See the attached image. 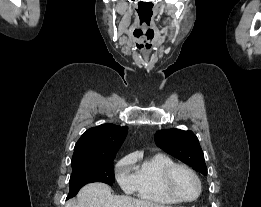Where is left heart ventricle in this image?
<instances>
[{"mask_svg": "<svg viewBox=\"0 0 261 207\" xmlns=\"http://www.w3.org/2000/svg\"><path fill=\"white\" fill-rule=\"evenodd\" d=\"M172 185L176 193L184 199H192L196 196L198 186L190 173L179 169L173 176Z\"/></svg>", "mask_w": 261, "mask_h": 207, "instance_id": "obj_1", "label": "left heart ventricle"}]
</instances>
